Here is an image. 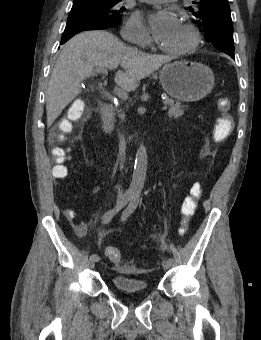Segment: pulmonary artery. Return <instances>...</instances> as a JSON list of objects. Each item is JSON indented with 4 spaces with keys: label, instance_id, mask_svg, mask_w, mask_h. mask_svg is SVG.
Listing matches in <instances>:
<instances>
[{
    "label": "pulmonary artery",
    "instance_id": "pulmonary-artery-1",
    "mask_svg": "<svg viewBox=\"0 0 261 340\" xmlns=\"http://www.w3.org/2000/svg\"><path fill=\"white\" fill-rule=\"evenodd\" d=\"M143 2H147V3H165L171 0H141Z\"/></svg>",
    "mask_w": 261,
    "mask_h": 340
}]
</instances>
